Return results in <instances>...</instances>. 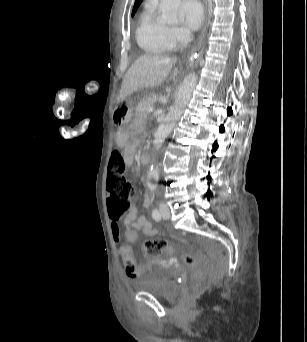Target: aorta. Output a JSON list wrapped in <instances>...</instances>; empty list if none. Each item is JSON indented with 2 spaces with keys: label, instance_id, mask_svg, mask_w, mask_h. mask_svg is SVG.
<instances>
[{
  "label": "aorta",
  "instance_id": "aorta-1",
  "mask_svg": "<svg viewBox=\"0 0 307 342\" xmlns=\"http://www.w3.org/2000/svg\"><path fill=\"white\" fill-rule=\"evenodd\" d=\"M181 0H160V18L159 22H164V24H178V16L180 14ZM198 82V76L196 74H189L184 78L176 96L175 102L168 112L165 122L160 124L154 138L153 146L155 150H159L162 146L163 138H167L168 134L172 132L174 124L179 120L180 116L183 114L184 108H186L189 100H191L192 92L196 88ZM148 176L152 178H157L158 168L156 166H151Z\"/></svg>",
  "mask_w": 307,
  "mask_h": 342
}]
</instances>
